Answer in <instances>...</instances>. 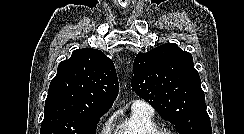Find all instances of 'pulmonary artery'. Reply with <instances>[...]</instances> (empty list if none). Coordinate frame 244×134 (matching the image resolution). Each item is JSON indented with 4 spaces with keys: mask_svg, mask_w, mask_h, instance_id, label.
<instances>
[{
    "mask_svg": "<svg viewBox=\"0 0 244 134\" xmlns=\"http://www.w3.org/2000/svg\"><path fill=\"white\" fill-rule=\"evenodd\" d=\"M132 109L149 113V114L153 113V108L143 100H135L132 104Z\"/></svg>",
    "mask_w": 244,
    "mask_h": 134,
    "instance_id": "e3ab8cb5",
    "label": "pulmonary artery"
}]
</instances>
